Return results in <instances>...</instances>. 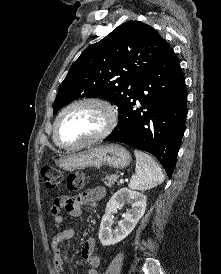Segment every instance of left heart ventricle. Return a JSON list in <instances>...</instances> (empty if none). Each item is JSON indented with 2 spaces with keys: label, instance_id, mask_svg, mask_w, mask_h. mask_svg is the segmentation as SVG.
<instances>
[{
  "label": "left heart ventricle",
  "instance_id": "b2bd125f",
  "mask_svg": "<svg viewBox=\"0 0 221 274\" xmlns=\"http://www.w3.org/2000/svg\"><path fill=\"white\" fill-rule=\"evenodd\" d=\"M106 122L104 111L95 105H80L61 119L58 137L66 144H76L99 133Z\"/></svg>",
  "mask_w": 221,
  "mask_h": 274
}]
</instances>
